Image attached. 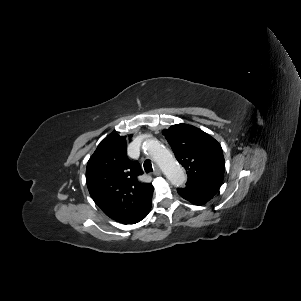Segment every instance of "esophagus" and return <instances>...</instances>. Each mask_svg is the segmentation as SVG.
I'll use <instances>...</instances> for the list:
<instances>
[{
  "label": "esophagus",
  "instance_id": "obj_1",
  "mask_svg": "<svg viewBox=\"0 0 301 301\" xmlns=\"http://www.w3.org/2000/svg\"><path fill=\"white\" fill-rule=\"evenodd\" d=\"M161 173H162V171H161L160 167L155 165L153 174L157 176V175H160Z\"/></svg>",
  "mask_w": 301,
  "mask_h": 301
}]
</instances>
